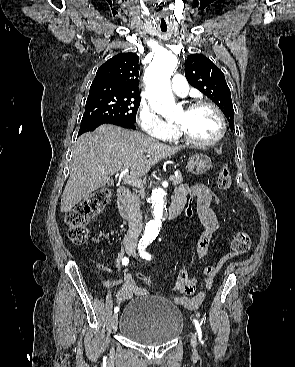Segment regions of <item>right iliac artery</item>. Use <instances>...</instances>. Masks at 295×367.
Segmentation results:
<instances>
[{"label":"right iliac artery","instance_id":"82829eb1","mask_svg":"<svg viewBox=\"0 0 295 367\" xmlns=\"http://www.w3.org/2000/svg\"><path fill=\"white\" fill-rule=\"evenodd\" d=\"M122 262V264L123 265H128V263H129V259L127 258V257H123V258H121L120 256L118 257V259H117V262L119 263V262ZM119 311V307H115L114 308V312L115 313H117Z\"/></svg>","mask_w":295,"mask_h":367}]
</instances>
